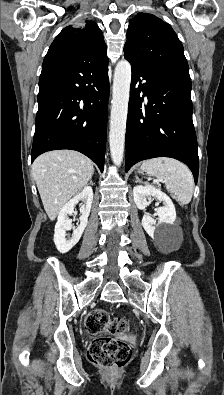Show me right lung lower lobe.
<instances>
[{"label": "right lung lower lobe", "instance_id": "obj_1", "mask_svg": "<svg viewBox=\"0 0 224 395\" xmlns=\"http://www.w3.org/2000/svg\"><path fill=\"white\" fill-rule=\"evenodd\" d=\"M109 97L108 59L44 58L31 162L58 149L79 151L104 168Z\"/></svg>", "mask_w": 224, "mask_h": 395}]
</instances>
